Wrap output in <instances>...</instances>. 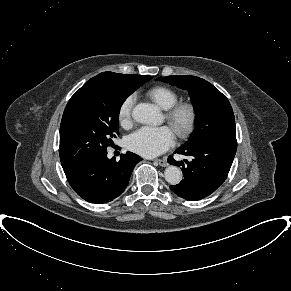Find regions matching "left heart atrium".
Instances as JSON below:
<instances>
[{"instance_id":"left-heart-atrium-1","label":"left heart atrium","mask_w":291,"mask_h":291,"mask_svg":"<svg viewBox=\"0 0 291 291\" xmlns=\"http://www.w3.org/2000/svg\"><path fill=\"white\" fill-rule=\"evenodd\" d=\"M174 142L175 134L171 128L145 126L128 137L127 147L142 156L154 157L168 150Z\"/></svg>"}]
</instances>
